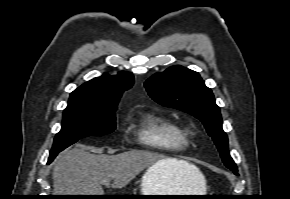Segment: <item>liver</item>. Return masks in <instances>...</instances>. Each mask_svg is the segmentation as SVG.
<instances>
[{
  "label": "liver",
  "mask_w": 290,
  "mask_h": 199,
  "mask_svg": "<svg viewBox=\"0 0 290 199\" xmlns=\"http://www.w3.org/2000/svg\"><path fill=\"white\" fill-rule=\"evenodd\" d=\"M159 164L181 182L178 193L193 190L200 170L185 160L164 158L145 150H131L117 155H96L82 148L61 153L53 167L54 195H103L102 183L113 180V188L128 185L142 170Z\"/></svg>",
  "instance_id": "liver-1"
}]
</instances>
